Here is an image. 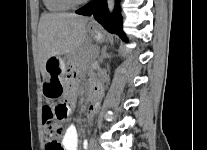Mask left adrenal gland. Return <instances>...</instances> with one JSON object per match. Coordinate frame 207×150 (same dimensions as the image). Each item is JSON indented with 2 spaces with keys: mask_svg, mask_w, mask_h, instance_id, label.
<instances>
[{
  "mask_svg": "<svg viewBox=\"0 0 207 150\" xmlns=\"http://www.w3.org/2000/svg\"><path fill=\"white\" fill-rule=\"evenodd\" d=\"M109 56H110V55H109L108 53H106V51H104V52L102 53L100 62L102 63V62L104 61V58H107V57H109Z\"/></svg>",
  "mask_w": 207,
  "mask_h": 150,
  "instance_id": "obj_1",
  "label": "left adrenal gland"
}]
</instances>
